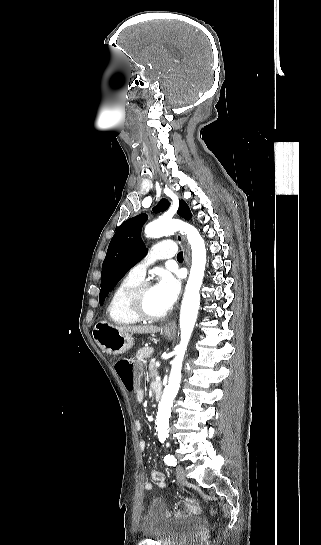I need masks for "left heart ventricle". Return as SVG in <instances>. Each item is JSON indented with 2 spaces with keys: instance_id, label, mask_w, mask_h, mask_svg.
Instances as JSON below:
<instances>
[{
  "instance_id": "1",
  "label": "left heart ventricle",
  "mask_w": 321,
  "mask_h": 545,
  "mask_svg": "<svg viewBox=\"0 0 321 545\" xmlns=\"http://www.w3.org/2000/svg\"><path fill=\"white\" fill-rule=\"evenodd\" d=\"M141 304L143 309L149 313L162 314L167 312L159 298L156 296L153 287L143 294Z\"/></svg>"
}]
</instances>
